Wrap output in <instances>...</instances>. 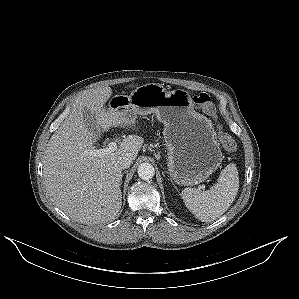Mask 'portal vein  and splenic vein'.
<instances>
[{
	"instance_id": "1",
	"label": "portal vein and splenic vein",
	"mask_w": 299,
	"mask_h": 299,
	"mask_svg": "<svg viewBox=\"0 0 299 299\" xmlns=\"http://www.w3.org/2000/svg\"><path fill=\"white\" fill-rule=\"evenodd\" d=\"M116 149H117V143L115 141H112L105 148L90 150L89 155H92L94 157H102V156L108 155L111 152H114ZM201 189L204 190L205 186L202 185Z\"/></svg>"
}]
</instances>
